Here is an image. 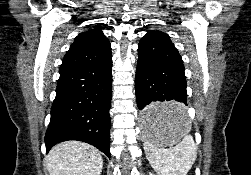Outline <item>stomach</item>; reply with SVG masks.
<instances>
[{
    "mask_svg": "<svg viewBox=\"0 0 251 175\" xmlns=\"http://www.w3.org/2000/svg\"><path fill=\"white\" fill-rule=\"evenodd\" d=\"M181 105V100H157V105L144 107L141 113L140 125L143 141H160L158 148H167V145H174L181 139L179 134H194L190 128L187 114H152L166 113V111H188V106ZM168 128V129H149ZM149 134H164V136H149Z\"/></svg>",
    "mask_w": 251,
    "mask_h": 175,
    "instance_id": "1",
    "label": "stomach"
}]
</instances>
